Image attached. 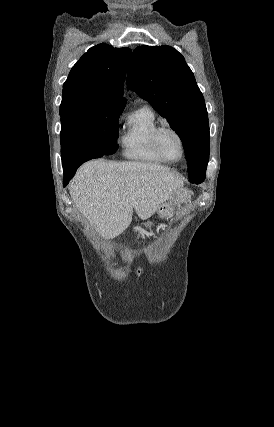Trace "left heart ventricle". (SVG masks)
<instances>
[{"instance_id":"b2bd125f","label":"left heart ventricle","mask_w":274,"mask_h":427,"mask_svg":"<svg viewBox=\"0 0 274 427\" xmlns=\"http://www.w3.org/2000/svg\"><path fill=\"white\" fill-rule=\"evenodd\" d=\"M161 147L169 159L180 160L182 147L179 138L174 133L167 131L161 135Z\"/></svg>"}]
</instances>
